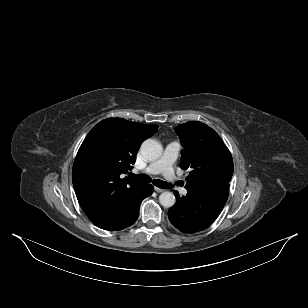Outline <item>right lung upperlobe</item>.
<instances>
[{"mask_svg": "<svg viewBox=\"0 0 308 308\" xmlns=\"http://www.w3.org/2000/svg\"><path fill=\"white\" fill-rule=\"evenodd\" d=\"M158 130L122 118L96 124L80 146L72 170L78 202L94 224L113 222L124 215L144 186L123 178L142 142Z\"/></svg>", "mask_w": 308, "mask_h": 308, "instance_id": "1", "label": "right lung upper lobe"}]
</instances>
